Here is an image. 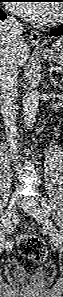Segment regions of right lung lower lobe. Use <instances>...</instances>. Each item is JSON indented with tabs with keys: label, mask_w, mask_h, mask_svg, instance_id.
I'll list each match as a JSON object with an SVG mask.
<instances>
[{
	"label": "right lung lower lobe",
	"mask_w": 63,
	"mask_h": 297,
	"mask_svg": "<svg viewBox=\"0 0 63 297\" xmlns=\"http://www.w3.org/2000/svg\"><path fill=\"white\" fill-rule=\"evenodd\" d=\"M6 18V15L2 10L0 9V20H4Z\"/></svg>",
	"instance_id": "98d812e1"
}]
</instances>
